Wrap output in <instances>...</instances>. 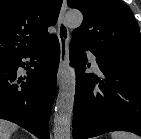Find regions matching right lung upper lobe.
<instances>
[{"instance_id": "cb5924a9", "label": "right lung upper lobe", "mask_w": 141, "mask_h": 139, "mask_svg": "<svg viewBox=\"0 0 141 139\" xmlns=\"http://www.w3.org/2000/svg\"><path fill=\"white\" fill-rule=\"evenodd\" d=\"M62 0H0V60L48 43Z\"/></svg>"}]
</instances>
